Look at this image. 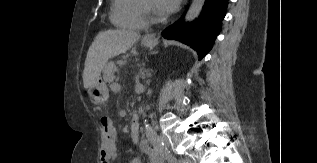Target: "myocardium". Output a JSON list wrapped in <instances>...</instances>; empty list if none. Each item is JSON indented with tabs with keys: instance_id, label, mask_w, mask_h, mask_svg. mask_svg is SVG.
I'll list each match as a JSON object with an SVG mask.
<instances>
[{
	"instance_id": "myocardium-1",
	"label": "myocardium",
	"mask_w": 317,
	"mask_h": 163,
	"mask_svg": "<svg viewBox=\"0 0 317 163\" xmlns=\"http://www.w3.org/2000/svg\"><path fill=\"white\" fill-rule=\"evenodd\" d=\"M141 8L147 20L153 23H160L164 21V17L156 15L145 0H141Z\"/></svg>"
}]
</instances>
